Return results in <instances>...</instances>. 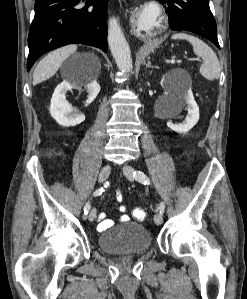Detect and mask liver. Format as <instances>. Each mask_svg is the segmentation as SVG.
I'll return each mask as SVG.
<instances>
[{
  "label": "liver",
  "instance_id": "obj_1",
  "mask_svg": "<svg viewBox=\"0 0 247 299\" xmlns=\"http://www.w3.org/2000/svg\"><path fill=\"white\" fill-rule=\"evenodd\" d=\"M77 50L76 45H67L46 55L36 66L33 73V85H37L52 76L61 67L63 61Z\"/></svg>",
  "mask_w": 247,
  "mask_h": 299
}]
</instances>
